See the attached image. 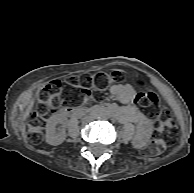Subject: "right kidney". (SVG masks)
Returning <instances> with one entry per match:
<instances>
[{
  "mask_svg": "<svg viewBox=\"0 0 194 193\" xmlns=\"http://www.w3.org/2000/svg\"><path fill=\"white\" fill-rule=\"evenodd\" d=\"M62 123L58 115L51 116L46 124V142L50 145H59L64 142L66 133L61 130L57 132V125Z\"/></svg>",
  "mask_w": 194,
  "mask_h": 193,
  "instance_id": "right-kidney-1",
  "label": "right kidney"
}]
</instances>
